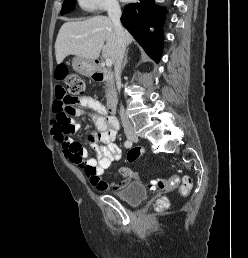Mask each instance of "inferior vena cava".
Segmentation results:
<instances>
[{
	"label": "inferior vena cava",
	"instance_id": "602c4592",
	"mask_svg": "<svg viewBox=\"0 0 248 258\" xmlns=\"http://www.w3.org/2000/svg\"><path fill=\"white\" fill-rule=\"evenodd\" d=\"M108 16L113 23L116 37H117L114 71H115L117 88L119 90L122 62H123V57L126 50V39H125L124 29L120 22L121 9L119 4L115 0L112 1L108 6ZM120 117L124 128V132L126 134H132L134 132V128L132 127L122 106L120 108Z\"/></svg>",
	"mask_w": 248,
	"mask_h": 258
}]
</instances>
